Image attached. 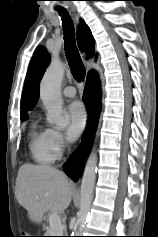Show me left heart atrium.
Instances as JSON below:
<instances>
[{"label": "left heart atrium", "instance_id": "obj_1", "mask_svg": "<svg viewBox=\"0 0 158 237\" xmlns=\"http://www.w3.org/2000/svg\"><path fill=\"white\" fill-rule=\"evenodd\" d=\"M65 116L68 121L67 136L70 140L79 137L86 125V112L80 102H72L65 110Z\"/></svg>", "mask_w": 158, "mask_h": 237}]
</instances>
